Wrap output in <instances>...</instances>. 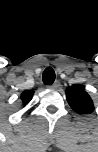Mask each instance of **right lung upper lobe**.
Here are the masks:
<instances>
[{
  "label": "right lung upper lobe",
  "instance_id": "cb5924a9",
  "mask_svg": "<svg viewBox=\"0 0 98 152\" xmlns=\"http://www.w3.org/2000/svg\"><path fill=\"white\" fill-rule=\"evenodd\" d=\"M33 94H34L33 90L24 91L21 94V100H22L23 104H27L32 99Z\"/></svg>",
  "mask_w": 98,
  "mask_h": 152
}]
</instances>
